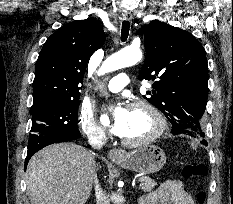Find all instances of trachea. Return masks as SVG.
I'll use <instances>...</instances> for the list:
<instances>
[{
  "instance_id": "3493384b",
  "label": "trachea",
  "mask_w": 233,
  "mask_h": 204,
  "mask_svg": "<svg viewBox=\"0 0 233 204\" xmlns=\"http://www.w3.org/2000/svg\"><path fill=\"white\" fill-rule=\"evenodd\" d=\"M129 28L130 24L128 21H123L122 22V29H121V41L124 42L127 40L128 35H129Z\"/></svg>"
}]
</instances>
